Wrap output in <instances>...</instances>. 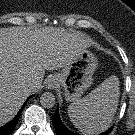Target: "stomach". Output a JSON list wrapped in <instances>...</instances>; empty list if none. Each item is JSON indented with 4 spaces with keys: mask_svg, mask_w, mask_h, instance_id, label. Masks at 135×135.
<instances>
[{
    "mask_svg": "<svg viewBox=\"0 0 135 135\" xmlns=\"http://www.w3.org/2000/svg\"><path fill=\"white\" fill-rule=\"evenodd\" d=\"M97 62V57L88 49H84L54 75L64 91L66 101H78L91 86Z\"/></svg>",
    "mask_w": 135,
    "mask_h": 135,
    "instance_id": "obj_1",
    "label": "stomach"
}]
</instances>
